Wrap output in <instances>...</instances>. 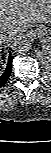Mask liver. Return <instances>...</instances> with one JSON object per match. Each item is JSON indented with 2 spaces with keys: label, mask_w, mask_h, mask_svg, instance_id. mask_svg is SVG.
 <instances>
[{
  "label": "liver",
  "mask_w": 51,
  "mask_h": 153,
  "mask_svg": "<svg viewBox=\"0 0 51 153\" xmlns=\"http://www.w3.org/2000/svg\"><path fill=\"white\" fill-rule=\"evenodd\" d=\"M50 21L51 0H0V43L14 39L30 24Z\"/></svg>",
  "instance_id": "1"
}]
</instances>
